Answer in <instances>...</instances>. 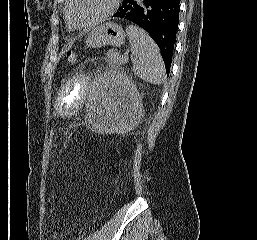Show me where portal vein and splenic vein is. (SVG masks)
Masks as SVG:
<instances>
[{
  "mask_svg": "<svg viewBox=\"0 0 257 240\" xmlns=\"http://www.w3.org/2000/svg\"><path fill=\"white\" fill-rule=\"evenodd\" d=\"M120 60L122 63H127L129 61V57L127 55L120 56ZM133 60V58H132Z\"/></svg>",
  "mask_w": 257,
  "mask_h": 240,
  "instance_id": "portal-vein-and-splenic-vein-1",
  "label": "portal vein and splenic vein"
}]
</instances>
